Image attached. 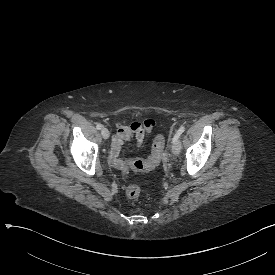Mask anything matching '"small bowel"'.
Wrapping results in <instances>:
<instances>
[{
    "label": "small bowel",
    "instance_id": "obj_1",
    "mask_svg": "<svg viewBox=\"0 0 275 275\" xmlns=\"http://www.w3.org/2000/svg\"><path fill=\"white\" fill-rule=\"evenodd\" d=\"M115 126L116 127L112 128V133L115 134V137L111 144L109 161L114 167L121 168L126 164V160L120 157V149L123 141L130 140L134 133L137 143L141 144L145 137L144 133L155 130L158 127V122L153 118H148L143 122L129 123L127 129L126 122L116 120Z\"/></svg>",
    "mask_w": 275,
    "mask_h": 275
}]
</instances>
